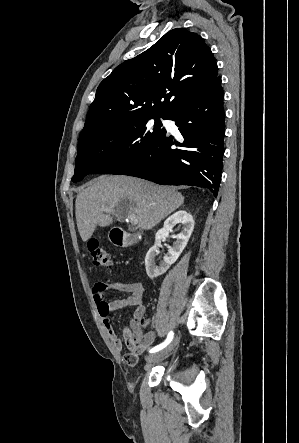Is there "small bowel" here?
<instances>
[{
  "mask_svg": "<svg viewBox=\"0 0 299 443\" xmlns=\"http://www.w3.org/2000/svg\"><path fill=\"white\" fill-rule=\"evenodd\" d=\"M144 291L145 288L140 282H96L92 286L93 300L97 306L103 327L116 352L120 353L123 350V345H126L129 352L125 354L124 360L130 366L135 365L139 355L153 344L155 332L149 331L143 334L138 326H135L133 331L130 327H125L123 330V343L113 328L110 316L119 309L133 306L137 308L135 313L142 317L145 313V308L142 304ZM107 292L127 293L128 295L123 298L106 301L105 295Z\"/></svg>",
  "mask_w": 299,
  "mask_h": 443,
  "instance_id": "obj_1",
  "label": "small bowel"
}]
</instances>
